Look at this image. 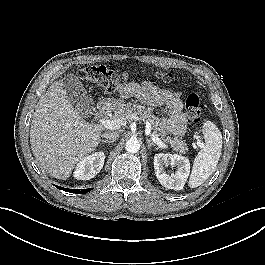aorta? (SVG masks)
<instances>
[{
	"label": "aorta",
	"mask_w": 265,
	"mask_h": 265,
	"mask_svg": "<svg viewBox=\"0 0 265 265\" xmlns=\"http://www.w3.org/2000/svg\"><path fill=\"white\" fill-rule=\"evenodd\" d=\"M125 149L129 153H137L140 149V143L137 139L131 138L126 142Z\"/></svg>",
	"instance_id": "762f6f07"
}]
</instances>
